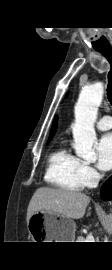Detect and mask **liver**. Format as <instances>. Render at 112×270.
Returning <instances> with one entry per match:
<instances>
[{
	"label": "liver",
	"mask_w": 112,
	"mask_h": 270,
	"mask_svg": "<svg viewBox=\"0 0 112 270\" xmlns=\"http://www.w3.org/2000/svg\"><path fill=\"white\" fill-rule=\"evenodd\" d=\"M90 198L78 191L41 187L35 191L27 209V223L31 216L38 212H52L71 219L84 216ZM90 215V212L87 216Z\"/></svg>",
	"instance_id": "obj_1"
}]
</instances>
